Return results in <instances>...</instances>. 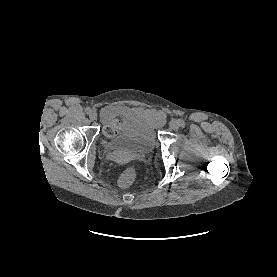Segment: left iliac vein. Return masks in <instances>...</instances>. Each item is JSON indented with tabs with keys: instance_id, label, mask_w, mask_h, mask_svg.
<instances>
[{
	"instance_id": "obj_1",
	"label": "left iliac vein",
	"mask_w": 277,
	"mask_h": 277,
	"mask_svg": "<svg viewBox=\"0 0 277 277\" xmlns=\"http://www.w3.org/2000/svg\"><path fill=\"white\" fill-rule=\"evenodd\" d=\"M169 127L173 130H177L180 127V122L177 119H172L169 123Z\"/></svg>"
}]
</instances>
